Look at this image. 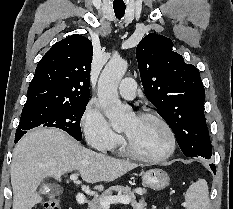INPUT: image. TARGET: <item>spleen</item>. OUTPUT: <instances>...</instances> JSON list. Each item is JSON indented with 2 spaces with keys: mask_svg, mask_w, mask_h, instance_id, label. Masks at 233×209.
I'll list each match as a JSON object with an SVG mask.
<instances>
[{
  "mask_svg": "<svg viewBox=\"0 0 233 209\" xmlns=\"http://www.w3.org/2000/svg\"><path fill=\"white\" fill-rule=\"evenodd\" d=\"M185 203L187 209H209V191L205 179H199L189 186Z\"/></svg>",
  "mask_w": 233,
  "mask_h": 209,
  "instance_id": "spleen-1",
  "label": "spleen"
}]
</instances>
